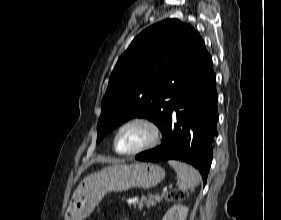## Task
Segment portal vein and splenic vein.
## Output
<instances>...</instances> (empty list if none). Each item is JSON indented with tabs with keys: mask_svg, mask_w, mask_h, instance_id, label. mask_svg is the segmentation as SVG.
Here are the masks:
<instances>
[{
	"mask_svg": "<svg viewBox=\"0 0 281 220\" xmlns=\"http://www.w3.org/2000/svg\"><path fill=\"white\" fill-rule=\"evenodd\" d=\"M166 190H167V187H165L164 191H166Z\"/></svg>",
	"mask_w": 281,
	"mask_h": 220,
	"instance_id": "obj_1",
	"label": "portal vein and splenic vein"
}]
</instances>
